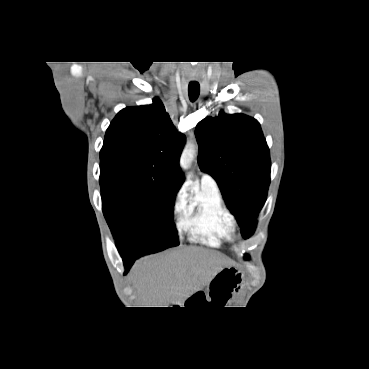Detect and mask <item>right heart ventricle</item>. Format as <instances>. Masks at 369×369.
Returning <instances> with one entry per match:
<instances>
[{
    "label": "right heart ventricle",
    "mask_w": 369,
    "mask_h": 369,
    "mask_svg": "<svg viewBox=\"0 0 369 369\" xmlns=\"http://www.w3.org/2000/svg\"><path fill=\"white\" fill-rule=\"evenodd\" d=\"M180 226L191 240L210 247L231 241L234 222L218 188L205 185L185 201Z\"/></svg>",
    "instance_id": "right-heart-ventricle-1"
}]
</instances>
